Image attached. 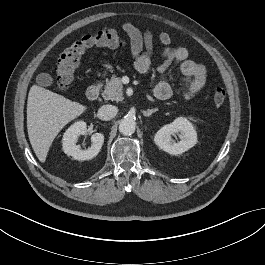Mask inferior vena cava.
Instances as JSON below:
<instances>
[{
  "label": "inferior vena cava",
  "mask_w": 265,
  "mask_h": 265,
  "mask_svg": "<svg viewBox=\"0 0 265 265\" xmlns=\"http://www.w3.org/2000/svg\"><path fill=\"white\" fill-rule=\"evenodd\" d=\"M118 112L117 107L113 105H103L98 110V117L102 120L108 121L113 119Z\"/></svg>",
  "instance_id": "inferior-vena-cava-1"
}]
</instances>
